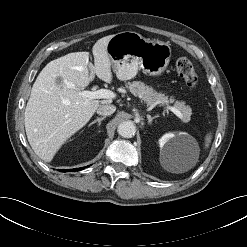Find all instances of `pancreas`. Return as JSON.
Here are the masks:
<instances>
[{
    "label": "pancreas",
    "mask_w": 247,
    "mask_h": 247,
    "mask_svg": "<svg viewBox=\"0 0 247 247\" xmlns=\"http://www.w3.org/2000/svg\"><path fill=\"white\" fill-rule=\"evenodd\" d=\"M126 87L129 91L139 98H141L148 106L155 107L158 104H169L174 102V98H168L165 94L156 92L152 87L146 86L141 81L128 82ZM174 107L182 113V121L188 122L190 120L192 109L186 106L183 101H176Z\"/></svg>",
    "instance_id": "pancreas-1"
}]
</instances>
